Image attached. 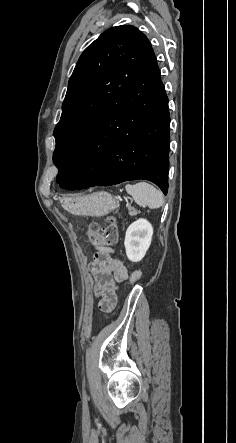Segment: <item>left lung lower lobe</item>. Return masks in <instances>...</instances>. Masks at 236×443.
Segmentation results:
<instances>
[{"mask_svg": "<svg viewBox=\"0 0 236 443\" xmlns=\"http://www.w3.org/2000/svg\"><path fill=\"white\" fill-rule=\"evenodd\" d=\"M169 132L168 98L153 53L59 170L56 181L75 190L145 179L166 195Z\"/></svg>", "mask_w": 236, "mask_h": 443, "instance_id": "left-lung-lower-lobe-1", "label": "left lung lower lobe"}]
</instances>
